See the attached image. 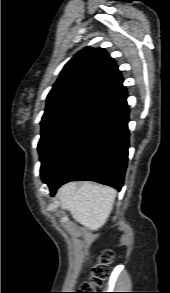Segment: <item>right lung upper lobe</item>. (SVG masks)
Listing matches in <instances>:
<instances>
[{"mask_svg": "<svg viewBox=\"0 0 170 293\" xmlns=\"http://www.w3.org/2000/svg\"><path fill=\"white\" fill-rule=\"evenodd\" d=\"M122 83L120 71L107 52L86 47L63 68L48 94L42 120L79 105L111 109L127 98Z\"/></svg>", "mask_w": 170, "mask_h": 293, "instance_id": "obj_1", "label": "right lung upper lobe"}]
</instances>
